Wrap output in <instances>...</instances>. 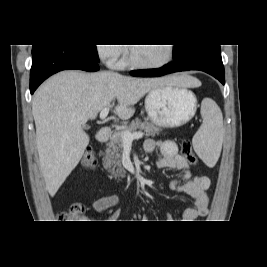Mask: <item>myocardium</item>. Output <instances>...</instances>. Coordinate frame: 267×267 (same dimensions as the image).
<instances>
[{
	"label": "myocardium",
	"instance_id": "myocardium-1",
	"mask_svg": "<svg viewBox=\"0 0 267 267\" xmlns=\"http://www.w3.org/2000/svg\"><path fill=\"white\" fill-rule=\"evenodd\" d=\"M167 45V56L166 58L158 63H140L137 62L132 54V50L129 47L128 51H127V57H126V61L127 63L134 67V68H138V69H157V68H161L166 66L167 64H169L173 58V53H174V49L173 46L171 44H166Z\"/></svg>",
	"mask_w": 267,
	"mask_h": 267
}]
</instances>
